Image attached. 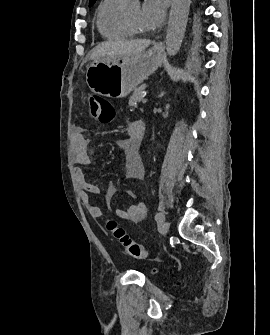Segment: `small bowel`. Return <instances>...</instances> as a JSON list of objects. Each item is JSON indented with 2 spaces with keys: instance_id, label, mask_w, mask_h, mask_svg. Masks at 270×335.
Returning a JSON list of instances; mask_svg holds the SVG:
<instances>
[{
  "instance_id": "obj_1",
  "label": "small bowel",
  "mask_w": 270,
  "mask_h": 335,
  "mask_svg": "<svg viewBox=\"0 0 270 335\" xmlns=\"http://www.w3.org/2000/svg\"><path fill=\"white\" fill-rule=\"evenodd\" d=\"M139 121H132L127 125V150L125 154V164L127 167L128 176L132 179L141 180L145 177V165L140 158L138 151L142 144L141 136L137 134ZM71 152L73 162L79 166H89L92 163L88 153L89 140L84 135L83 129L80 126H73L71 132ZM75 178L79 188L82 191V201L86 206L91 217L95 220L103 218V212L100 207L93 204L90 195H99L100 189L97 185L90 182L84 171L80 167L75 169ZM116 192V187L113 183H109L106 189V200L109 203ZM146 212L144 203H134L126 209H117L116 215L119 219L129 222H138L142 219Z\"/></svg>"
}]
</instances>
